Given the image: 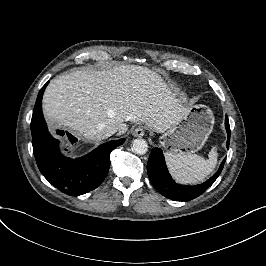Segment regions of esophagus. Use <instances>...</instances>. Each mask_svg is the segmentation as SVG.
Returning <instances> with one entry per match:
<instances>
[{
    "label": "esophagus",
    "mask_w": 266,
    "mask_h": 266,
    "mask_svg": "<svg viewBox=\"0 0 266 266\" xmlns=\"http://www.w3.org/2000/svg\"><path fill=\"white\" fill-rule=\"evenodd\" d=\"M144 134H145V129H144V127H142V126L137 127V128L133 131V135H134L135 137H143Z\"/></svg>",
    "instance_id": "obj_1"
}]
</instances>
